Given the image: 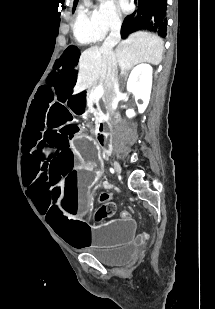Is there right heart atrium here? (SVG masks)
<instances>
[{
    "instance_id": "right-heart-atrium-1",
    "label": "right heart atrium",
    "mask_w": 215,
    "mask_h": 309,
    "mask_svg": "<svg viewBox=\"0 0 215 309\" xmlns=\"http://www.w3.org/2000/svg\"><path fill=\"white\" fill-rule=\"evenodd\" d=\"M114 6V0H104L103 7L97 9L96 14L93 15V24L103 34H115L121 27L122 19Z\"/></svg>"
}]
</instances>
